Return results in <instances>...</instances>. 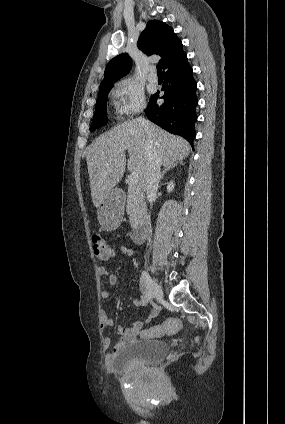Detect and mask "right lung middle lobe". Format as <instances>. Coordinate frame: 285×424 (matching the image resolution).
I'll list each match as a JSON object with an SVG mask.
<instances>
[{
	"label": "right lung middle lobe",
	"mask_w": 285,
	"mask_h": 424,
	"mask_svg": "<svg viewBox=\"0 0 285 424\" xmlns=\"http://www.w3.org/2000/svg\"><path fill=\"white\" fill-rule=\"evenodd\" d=\"M112 87L113 85L99 88V95L97 98L95 113L90 126V131H94L101 126H104L108 122L106 115V101L107 95Z\"/></svg>",
	"instance_id": "right-lung-middle-lobe-1"
}]
</instances>
